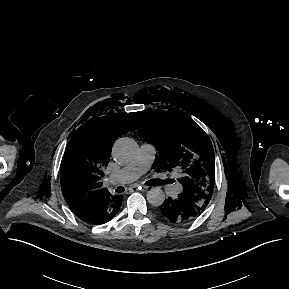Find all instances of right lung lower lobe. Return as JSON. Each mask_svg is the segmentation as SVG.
<instances>
[{"instance_id": "1", "label": "right lung lower lobe", "mask_w": 289, "mask_h": 289, "mask_svg": "<svg viewBox=\"0 0 289 289\" xmlns=\"http://www.w3.org/2000/svg\"><path fill=\"white\" fill-rule=\"evenodd\" d=\"M123 196L104 198L98 205L96 211L89 217L82 218L91 224H103L111 220L120 208Z\"/></svg>"}]
</instances>
